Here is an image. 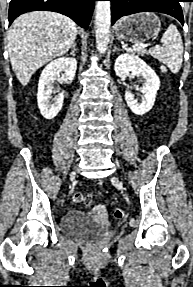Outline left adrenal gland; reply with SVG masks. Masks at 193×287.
Wrapping results in <instances>:
<instances>
[{"mask_svg":"<svg viewBox=\"0 0 193 287\" xmlns=\"http://www.w3.org/2000/svg\"><path fill=\"white\" fill-rule=\"evenodd\" d=\"M119 50V48L117 46L114 47V52Z\"/></svg>","mask_w":193,"mask_h":287,"instance_id":"obj_1","label":"left adrenal gland"}]
</instances>
